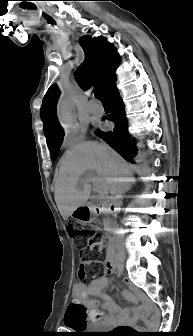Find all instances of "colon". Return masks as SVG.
Wrapping results in <instances>:
<instances>
[{
    "label": "colon",
    "instance_id": "colon-1",
    "mask_svg": "<svg viewBox=\"0 0 193 336\" xmlns=\"http://www.w3.org/2000/svg\"><path fill=\"white\" fill-rule=\"evenodd\" d=\"M67 230L69 235L74 239L76 244L81 248L82 263L79 268V277L85 278L90 269L95 265L101 255V247L94 235H90L87 240L84 241L82 237L76 234L75 226L68 224ZM78 305V304H76ZM120 331H126L127 328L119 329Z\"/></svg>",
    "mask_w": 193,
    "mask_h": 336
}]
</instances>
